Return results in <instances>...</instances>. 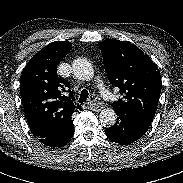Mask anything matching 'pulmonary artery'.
Instances as JSON below:
<instances>
[{
    "mask_svg": "<svg viewBox=\"0 0 183 183\" xmlns=\"http://www.w3.org/2000/svg\"><path fill=\"white\" fill-rule=\"evenodd\" d=\"M99 86H100V89L102 90L103 95H104L105 97H108V93L105 91L103 85L100 83Z\"/></svg>",
    "mask_w": 183,
    "mask_h": 183,
    "instance_id": "1",
    "label": "pulmonary artery"
}]
</instances>
